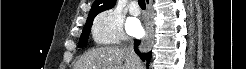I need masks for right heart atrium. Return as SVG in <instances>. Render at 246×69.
<instances>
[{"instance_id":"right-heart-atrium-1","label":"right heart atrium","mask_w":246,"mask_h":69,"mask_svg":"<svg viewBox=\"0 0 246 69\" xmlns=\"http://www.w3.org/2000/svg\"><path fill=\"white\" fill-rule=\"evenodd\" d=\"M90 34L96 45H111L125 39L123 17L116 10L107 9L96 16Z\"/></svg>"}]
</instances>
